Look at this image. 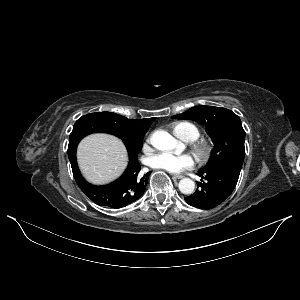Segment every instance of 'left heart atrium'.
<instances>
[{
    "mask_svg": "<svg viewBox=\"0 0 300 300\" xmlns=\"http://www.w3.org/2000/svg\"><path fill=\"white\" fill-rule=\"evenodd\" d=\"M147 163L154 169L165 170L170 173H180L191 169L195 164V158L190 154L161 152L150 156Z\"/></svg>",
    "mask_w": 300,
    "mask_h": 300,
    "instance_id": "39dd6f15",
    "label": "left heart atrium"
}]
</instances>
